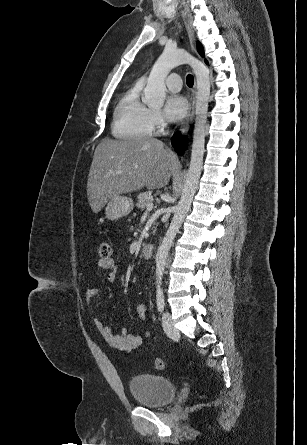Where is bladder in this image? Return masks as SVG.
I'll list each match as a JSON object with an SVG mask.
<instances>
[{
  "label": "bladder",
  "mask_w": 307,
  "mask_h": 445,
  "mask_svg": "<svg viewBox=\"0 0 307 445\" xmlns=\"http://www.w3.org/2000/svg\"><path fill=\"white\" fill-rule=\"evenodd\" d=\"M129 390L138 405L146 408H161L174 399L177 386L163 376L144 373L130 379Z\"/></svg>",
  "instance_id": "obj_1"
}]
</instances>
